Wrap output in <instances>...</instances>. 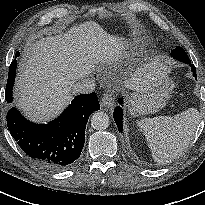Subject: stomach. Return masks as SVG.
Here are the masks:
<instances>
[{"label": "stomach", "instance_id": "obj_1", "mask_svg": "<svg viewBox=\"0 0 205 205\" xmlns=\"http://www.w3.org/2000/svg\"><path fill=\"white\" fill-rule=\"evenodd\" d=\"M173 88V80L166 73L151 88L128 94V112L132 116H138L159 111L167 103Z\"/></svg>", "mask_w": 205, "mask_h": 205}]
</instances>
